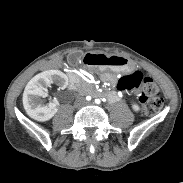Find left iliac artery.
I'll use <instances>...</instances> for the list:
<instances>
[{
    "label": "left iliac artery",
    "mask_w": 183,
    "mask_h": 183,
    "mask_svg": "<svg viewBox=\"0 0 183 183\" xmlns=\"http://www.w3.org/2000/svg\"><path fill=\"white\" fill-rule=\"evenodd\" d=\"M95 103L100 104L101 103L100 99H95Z\"/></svg>",
    "instance_id": "left-iliac-artery-1"
}]
</instances>
